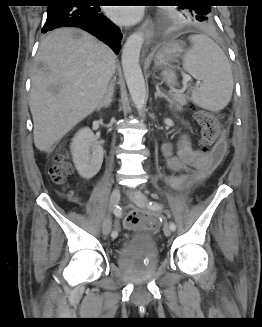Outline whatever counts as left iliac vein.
I'll return each instance as SVG.
<instances>
[{
  "instance_id": "4c4485c4",
  "label": "left iliac vein",
  "mask_w": 262,
  "mask_h": 327,
  "mask_svg": "<svg viewBox=\"0 0 262 327\" xmlns=\"http://www.w3.org/2000/svg\"><path fill=\"white\" fill-rule=\"evenodd\" d=\"M129 198L138 206H145L147 204L148 198L142 192L138 190H134L132 192H128ZM163 231L165 236L169 237L171 235V229L168 224H165L163 227Z\"/></svg>"
}]
</instances>
